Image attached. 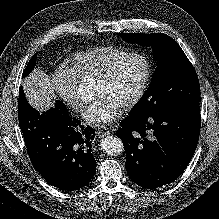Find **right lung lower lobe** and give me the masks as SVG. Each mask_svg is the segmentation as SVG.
<instances>
[{"mask_svg": "<svg viewBox=\"0 0 219 219\" xmlns=\"http://www.w3.org/2000/svg\"><path fill=\"white\" fill-rule=\"evenodd\" d=\"M20 129L30 160L51 185L65 191L86 186L96 171L91 153L95 130L84 127L65 107H55L40 114L19 90Z\"/></svg>", "mask_w": 219, "mask_h": 219, "instance_id": "98d812e1", "label": "right lung lower lobe"}]
</instances>
